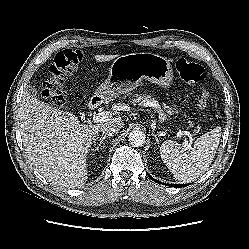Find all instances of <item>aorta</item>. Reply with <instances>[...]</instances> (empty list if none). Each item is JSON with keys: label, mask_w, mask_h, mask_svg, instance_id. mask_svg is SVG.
<instances>
[{"label": "aorta", "mask_w": 249, "mask_h": 249, "mask_svg": "<svg viewBox=\"0 0 249 249\" xmlns=\"http://www.w3.org/2000/svg\"><path fill=\"white\" fill-rule=\"evenodd\" d=\"M146 136L142 131L134 130L128 136V141L133 147H141L145 144Z\"/></svg>", "instance_id": "762f6f07"}]
</instances>
